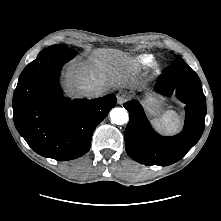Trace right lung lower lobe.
<instances>
[{
    "label": "right lung lower lobe",
    "mask_w": 221,
    "mask_h": 221,
    "mask_svg": "<svg viewBox=\"0 0 221 221\" xmlns=\"http://www.w3.org/2000/svg\"><path fill=\"white\" fill-rule=\"evenodd\" d=\"M76 51L44 49L21 73L13 96L14 124L38 154L65 161L88 152L96 126L116 105L113 94L69 101L57 83Z\"/></svg>",
    "instance_id": "obj_1"
}]
</instances>
